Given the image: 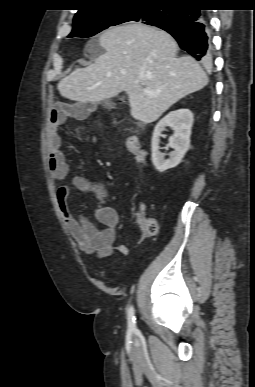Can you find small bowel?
I'll list each match as a JSON object with an SVG mask.
<instances>
[{
    "label": "small bowel",
    "mask_w": 255,
    "mask_h": 387,
    "mask_svg": "<svg viewBox=\"0 0 255 387\" xmlns=\"http://www.w3.org/2000/svg\"><path fill=\"white\" fill-rule=\"evenodd\" d=\"M65 111L54 109L50 116L49 125V156L48 165L54 176L63 180L68 175V165L61 151L62 139L58 127L64 122ZM76 188L82 192L93 194L98 200L95 217L103 224L105 229H98L88 219L77 216L71 210L69 198L71 189ZM107 192L103 184L92 181L84 176H75L70 184H61L57 189V204L62 214L65 226L70 235L77 242L79 248L86 253H97L108 256L113 253L128 254L129 247L123 243H116L115 228L119 223L117 210L106 205ZM144 237L140 239V242Z\"/></svg>",
    "instance_id": "obj_1"
}]
</instances>
